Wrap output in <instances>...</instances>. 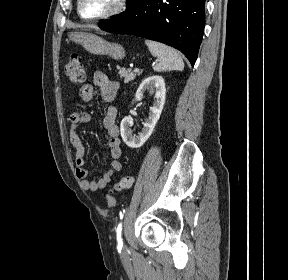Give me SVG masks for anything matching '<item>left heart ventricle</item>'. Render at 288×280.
<instances>
[{
	"mask_svg": "<svg viewBox=\"0 0 288 280\" xmlns=\"http://www.w3.org/2000/svg\"><path fill=\"white\" fill-rule=\"evenodd\" d=\"M117 0H83L81 12L86 17H95L112 9Z\"/></svg>",
	"mask_w": 288,
	"mask_h": 280,
	"instance_id": "left-heart-ventricle-1",
	"label": "left heart ventricle"
}]
</instances>
